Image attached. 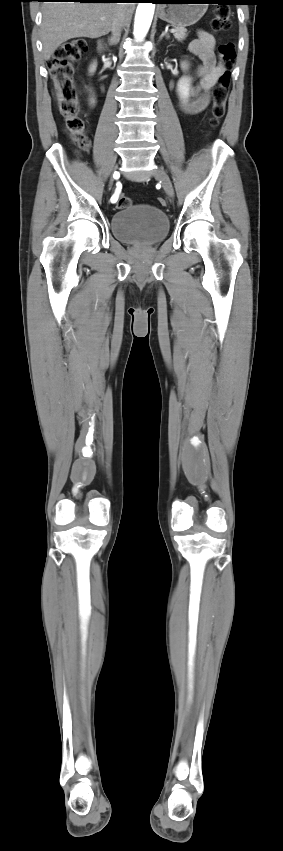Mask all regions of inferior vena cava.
Listing matches in <instances>:
<instances>
[{"mask_svg": "<svg viewBox=\"0 0 283 851\" xmlns=\"http://www.w3.org/2000/svg\"><path fill=\"white\" fill-rule=\"evenodd\" d=\"M125 25V12L120 11L112 25V39L115 43H118L121 36V31L123 26Z\"/></svg>", "mask_w": 283, "mask_h": 851, "instance_id": "obj_1", "label": "inferior vena cava"}]
</instances>
